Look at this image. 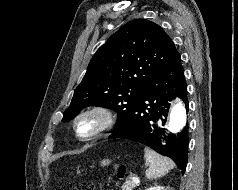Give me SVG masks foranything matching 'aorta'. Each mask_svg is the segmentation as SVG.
Listing matches in <instances>:
<instances>
[{"instance_id":"762f6f07","label":"aorta","mask_w":238,"mask_h":190,"mask_svg":"<svg viewBox=\"0 0 238 190\" xmlns=\"http://www.w3.org/2000/svg\"><path fill=\"white\" fill-rule=\"evenodd\" d=\"M187 120V110L182 101H175L171 108L169 130L171 132L180 131L185 125Z\"/></svg>"}]
</instances>
